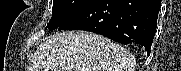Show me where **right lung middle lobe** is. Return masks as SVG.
Masks as SVG:
<instances>
[{"label":"right lung middle lobe","instance_id":"right-lung-middle-lobe-1","mask_svg":"<svg viewBox=\"0 0 181 71\" xmlns=\"http://www.w3.org/2000/svg\"><path fill=\"white\" fill-rule=\"evenodd\" d=\"M94 0H53L52 17L47 27L54 30L69 21Z\"/></svg>","mask_w":181,"mask_h":71}]
</instances>
